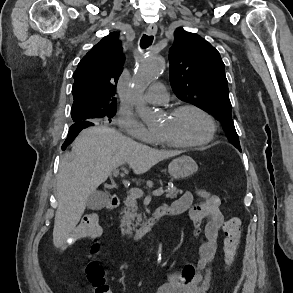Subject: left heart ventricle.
I'll return each mask as SVG.
<instances>
[{
  "label": "left heart ventricle",
  "mask_w": 293,
  "mask_h": 293,
  "mask_svg": "<svg viewBox=\"0 0 293 293\" xmlns=\"http://www.w3.org/2000/svg\"><path fill=\"white\" fill-rule=\"evenodd\" d=\"M206 119L195 111H185L176 116H166L158 134H163L183 142H197L208 134Z\"/></svg>",
  "instance_id": "b2bd125f"
}]
</instances>
